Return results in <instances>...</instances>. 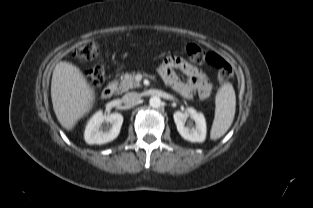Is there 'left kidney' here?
Segmentation results:
<instances>
[{
    "instance_id": "obj_1",
    "label": "left kidney",
    "mask_w": 313,
    "mask_h": 208,
    "mask_svg": "<svg viewBox=\"0 0 313 208\" xmlns=\"http://www.w3.org/2000/svg\"><path fill=\"white\" fill-rule=\"evenodd\" d=\"M189 116L195 121V127L185 126ZM173 118L179 134L185 140L190 142H203L205 140L207 128L202 113H198L194 108H188L185 112L176 111Z\"/></svg>"
}]
</instances>
